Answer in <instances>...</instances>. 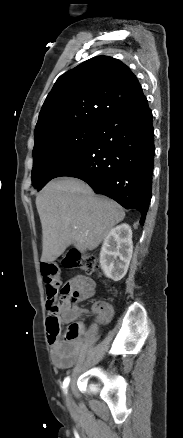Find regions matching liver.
Instances as JSON below:
<instances>
[{"label": "liver", "mask_w": 183, "mask_h": 438, "mask_svg": "<svg viewBox=\"0 0 183 438\" xmlns=\"http://www.w3.org/2000/svg\"><path fill=\"white\" fill-rule=\"evenodd\" d=\"M42 225V262H53L73 244L81 251L98 247L125 217L115 201L96 196L84 181L62 177L50 181L36 197Z\"/></svg>", "instance_id": "6515ba94"}]
</instances>
